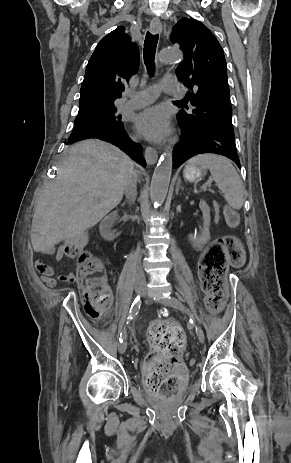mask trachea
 Returning <instances> with one entry per match:
<instances>
[{"label":"trachea","instance_id":"trachea-1","mask_svg":"<svg viewBox=\"0 0 291 463\" xmlns=\"http://www.w3.org/2000/svg\"><path fill=\"white\" fill-rule=\"evenodd\" d=\"M158 35H153L149 32H147L145 36V41H144V63L147 67L148 72L153 75L154 72V59H155V53H156V47L158 43ZM180 103H184L183 101H177Z\"/></svg>","mask_w":291,"mask_h":463}]
</instances>
